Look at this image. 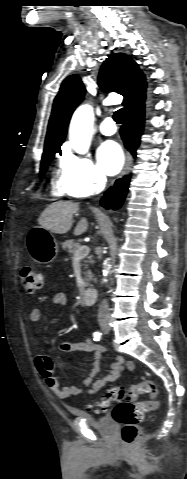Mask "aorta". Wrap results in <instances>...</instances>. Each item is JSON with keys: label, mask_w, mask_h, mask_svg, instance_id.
Masks as SVG:
<instances>
[{"label": "aorta", "mask_w": 187, "mask_h": 479, "mask_svg": "<svg viewBox=\"0 0 187 479\" xmlns=\"http://www.w3.org/2000/svg\"><path fill=\"white\" fill-rule=\"evenodd\" d=\"M93 120V108L88 104L80 106L73 114L69 129V140L71 147L77 153L85 154L89 150ZM110 267L111 265L107 264V269L103 271L104 275H107Z\"/></svg>", "instance_id": "762f6f07"}]
</instances>
